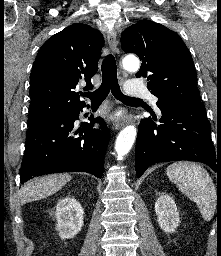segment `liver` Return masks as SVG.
Wrapping results in <instances>:
<instances>
[{
  "mask_svg": "<svg viewBox=\"0 0 221 256\" xmlns=\"http://www.w3.org/2000/svg\"><path fill=\"white\" fill-rule=\"evenodd\" d=\"M70 180L71 175L62 173L35 178L21 187V202L27 203L48 197L60 190Z\"/></svg>",
  "mask_w": 221,
  "mask_h": 256,
  "instance_id": "1",
  "label": "liver"
}]
</instances>
